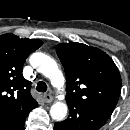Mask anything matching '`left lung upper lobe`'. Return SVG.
<instances>
[{
	"instance_id": "1",
	"label": "left lung upper lobe",
	"mask_w": 130,
	"mask_h": 130,
	"mask_svg": "<svg viewBox=\"0 0 130 130\" xmlns=\"http://www.w3.org/2000/svg\"><path fill=\"white\" fill-rule=\"evenodd\" d=\"M57 55L66 74V101L111 116L121 91V76L102 50L82 43H60Z\"/></svg>"
}]
</instances>
